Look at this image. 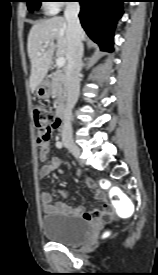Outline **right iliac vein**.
<instances>
[{"label":"right iliac vein","instance_id":"obj_1","mask_svg":"<svg viewBox=\"0 0 158 275\" xmlns=\"http://www.w3.org/2000/svg\"><path fill=\"white\" fill-rule=\"evenodd\" d=\"M64 145L69 149V151L75 156L79 157L81 154L80 148L76 145V143L70 139L66 138L63 140Z\"/></svg>","mask_w":158,"mask_h":275}]
</instances>
